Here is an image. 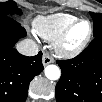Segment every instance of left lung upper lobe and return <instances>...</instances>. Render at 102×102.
<instances>
[{
	"label": "left lung upper lobe",
	"mask_w": 102,
	"mask_h": 102,
	"mask_svg": "<svg viewBox=\"0 0 102 102\" xmlns=\"http://www.w3.org/2000/svg\"><path fill=\"white\" fill-rule=\"evenodd\" d=\"M94 21V37L102 36V14L90 12Z\"/></svg>",
	"instance_id": "left-lung-upper-lobe-1"
}]
</instances>
